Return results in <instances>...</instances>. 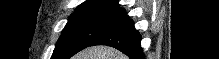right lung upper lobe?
<instances>
[{"instance_id":"1","label":"right lung upper lobe","mask_w":219,"mask_h":59,"mask_svg":"<svg viewBox=\"0 0 219 59\" xmlns=\"http://www.w3.org/2000/svg\"><path fill=\"white\" fill-rule=\"evenodd\" d=\"M117 8H119L117 0H86L75 9L73 14L83 12L113 11Z\"/></svg>"}]
</instances>
